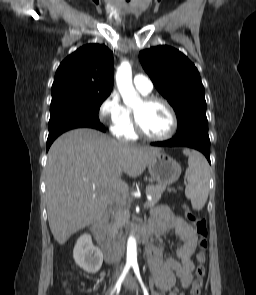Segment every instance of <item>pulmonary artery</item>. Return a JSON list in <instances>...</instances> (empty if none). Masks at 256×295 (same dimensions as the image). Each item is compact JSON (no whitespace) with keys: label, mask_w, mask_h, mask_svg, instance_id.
<instances>
[{"label":"pulmonary artery","mask_w":256,"mask_h":295,"mask_svg":"<svg viewBox=\"0 0 256 295\" xmlns=\"http://www.w3.org/2000/svg\"><path fill=\"white\" fill-rule=\"evenodd\" d=\"M133 84L135 88L142 94H148L153 89V84L151 80L147 76L142 74L135 75L133 79Z\"/></svg>","instance_id":"pulmonary-artery-1"}]
</instances>
